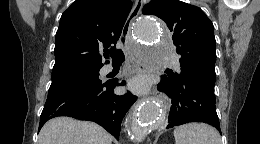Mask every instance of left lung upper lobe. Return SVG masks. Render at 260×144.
<instances>
[{
  "instance_id": "5c2ea615",
  "label": "left lung upper lobe",
  "mask_w": 260,
  "mask_h": 144,
  "mask_svg": "<svg viewBox=\"0 0 260 144\" xmlns=\"http://www.w3.org/2000/svg\"><path fill=\"white\" fill-rule=\"evenodd\" d=\"M142 12L164 20L173 34L181 65L179 74L168 72L173 78L193 74L215 85L216 40L213 24L206 14L199 7L179 0H152Z\"/></svg>"
}]
</instances>
